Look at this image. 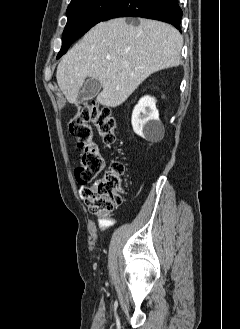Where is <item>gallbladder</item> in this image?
<instances>
[{"mask_svg": "<svg viewBox=\"0 0 240 329\" xmlns=\"http://www.w3.org/2000/svg\"><path fill=\"white\" fill-rule=\"evenodd\" d=\"M101 83L98 79L90 78L88 79L79 93L78 101L79 103L85 102L89 99L94 98L101 90Z\"/></svg>", "mask_w": 240, "mask_h": 329, "instance_id": "1", "label": "gallbladder"}]
</instances>
